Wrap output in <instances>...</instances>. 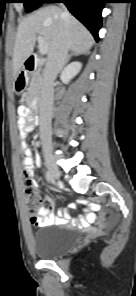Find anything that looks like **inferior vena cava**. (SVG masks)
<instances>
[{"instance_id":"1","label":"inferior vena cava","mask_w":136,"mask_h":296,"mask_svg":"<svg viewBox=\"0 0 136 296\" xmlns=\"http://www.w3.org/2000/svg\"><path fill=\"white\" fill-rule=\"evenodd\" d=\"M61 7L63 8L62 18L66 20L69 17V13L64 5H61ZM68 35L69 28L67 23L64 22L60 29L57 44L49 54L44 68L39 105L40 134L43 144H51V119L54 102L53 83L65 65L69 50Z\"/></svg>"}]
</instances>
